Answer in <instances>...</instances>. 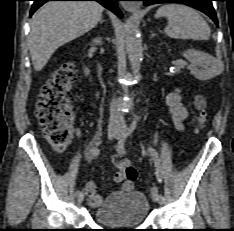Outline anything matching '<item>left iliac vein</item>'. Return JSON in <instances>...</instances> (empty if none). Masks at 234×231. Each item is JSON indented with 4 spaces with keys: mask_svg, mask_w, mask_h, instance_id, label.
<instances>
[{
    "mask_svg": "<svg viewBox=\"0 0 234 231\" xmlns=\"http://www.w3.org/2000/svg\"><path fill=\"white\" fill-rule=\"evenodd\" d=\"M124 131L121 132V134L118 136V139L120 140L123 136H124ZM151 198L153 199V201L158 202V190L157 188L154 186L151 190Z\"/></svg>",
    "mask_w": 234,
    "mask_h": 231,
    "instance_id": "obj_1",
    "label": "left iliac vein"
}]
</instances>
